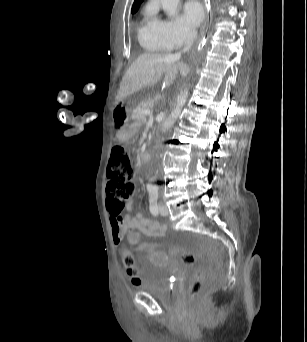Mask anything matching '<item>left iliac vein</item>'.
Wrapping results in <instances>:
<instances>
[{
  "label": "left iliac vein",
  "instance_id": "left-iliac-vein-1",
  "mask_svg": "<svg viewBox=\"0 0 307 342\" xmlns=\"http://www.w3.org/2000/svg\"><path fill=\"white\" fill-rule=\"evenodd\" d=\"M159 213H160L161 215L166 216V215L168 214V208H167V206L164 205V204H160V206H159Z\"/></svg>",
  "mask_w": 307,
  "mask_h": 342
}]
</instances>
